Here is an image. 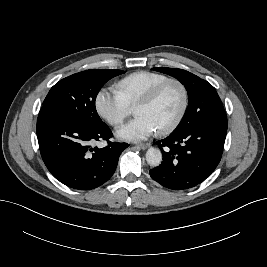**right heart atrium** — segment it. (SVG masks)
Wrapping results in <instances>:
<instances>
[{
    "instance_id": "d8ad5b80",
    "label": "right heart atrium",
    "mask_w": 267,
    "mask_h": 267,
    "mask_svg": "<svg viewBox=\"0 0 267 267\" xmlns=\"http://www.w3.org/2000/svg\"><path fill=\"white\" fill-rule=\"evenodd\" d=\"M95 108L101 118L117 127L131 114V106L116 92L100 90L95 97Z\"/></svg>"
}]
</instances>
